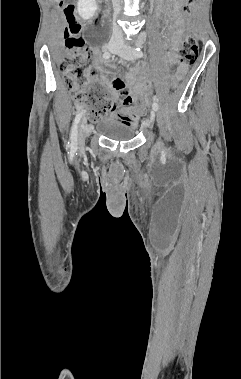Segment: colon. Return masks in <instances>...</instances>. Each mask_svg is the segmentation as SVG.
<instances>
[{
    "label": "colon",
    "instance_id": "colon-1",
    "mask_svg": "<svg viewBox=\"0 0 241 379\" xmlns=\"http://www.w3.org/2000/svg\"><path fill=\"white\" fill-rule=\"evenodd\" d=\"M197 0H186L183 12L186 17H190ZM61 8L69 23L66 34L67 53L60 62V69L63 72L65 85L69 93L78 102L79 106L85 110L86 118L90 122H97L102 116L114 109V102L109 94L100 87H87L84 82L86 73V63L90 58L84 40L79 36L80 24L76 7L73 4L62 3ZM198 45L194 36L186 33L182 38L180 49V61L184 66H191L198 60ZM181 85L180 79H173L170 83V90L175 92L177 86ZM114 86L123 95L127 94L124 83L121 80H114ZM155 87H145L139 94L142 103H149L152 94H155Z\"/></svg>",
    "mask_w": 241,
    "mask_h": 379
}]
</instances>
